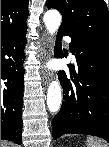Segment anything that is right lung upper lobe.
Masks as SVG:
<instances>
[{
    "label": "right lung upper lobe",
    "instance_id": "1",
    "mask_svg": "<svg viewBox=\"0 0 109 147\" xmlns=\"http://www.w3.org/2000/svg\"><path fill=\"white\" fill-rule=\"evenodd\" d=\"M28 0H1V38L27 27Z\"/></svg>",
    "mask_w": 109,
    "mask_h": 147
}]
</instances>
